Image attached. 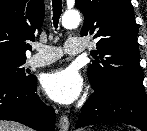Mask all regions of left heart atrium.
Instances as JSON below:
<instances>
[{"mask_svg": "<svg viewBox=\"0 0 147 131\" xmlns=\"http://www.w3.org/2000/svg\"><path fill=\"white\" fill-rule=\"evenodd\" d=\"M83 79L71 67L59 68L48 74L43 81L45 93L62 104L75 102L82 94Z\"/></svg>", "mask_w": 147, "mask_h": 131, "instance_id": "39dd6f15", "label": "left heart atrium"}]
</instances>
